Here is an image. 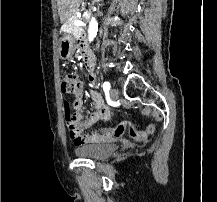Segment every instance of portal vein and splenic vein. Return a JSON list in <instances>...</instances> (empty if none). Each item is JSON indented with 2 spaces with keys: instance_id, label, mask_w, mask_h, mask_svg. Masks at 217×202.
I'll list each match as a JSON object with an SVG mask.
<instances>
[{
  "instance_id": "obj_1",
  "label": "portal vein and splenic vein",
  "mask_w": 217,
  "mask_h": 202,
  "mask_svg": "<svg viewBox=\"0 0 217 202\" xmlns=\"http://www.w3.org/2000/svg\"><path fill=\"white\" fill-rule=\"evenodd\" d=\"M73 26H86V24H84V22H81V20H75V22H73Z\"/></svg>"
}]
</instances>
